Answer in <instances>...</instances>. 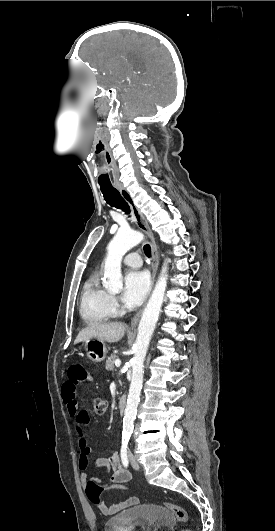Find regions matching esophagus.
<instances>
[{"label": "esophagus", "mask_w": 275, "mask_h": 531, "mask_svg": "<svg viewBox=\"0 0 275 531\" xmlns=\"http://www.w3.org/2000/svg\"><path fill=\"white\" fill-rule=\"evenodd\" d=\"M115 188L118 189V191L120 192L121 196L129 204V206L131 208V211H132L133 221L136 224V226L139 229H141L144 233H146L149 236L150 240H151V252H152V259H151V267H152L151 287H153L154 281H155L156 272H157V269H158V263H159L158 251H157L156 243L154 241L153 233H152V231H151V229L149 227V224H148L147 220L145 219V216L136 207V205L134 204V202H133L130 194L126 190V188L122 184L115 185ZM145 305H146V302L144 303L142 309H140L135 314V316L132 318V321H131V327L132 328H135L136 325L138 324V321L140 319V316L142 314V311H143Z\"/></svg>", "instance_id": "obj_1"}]
</instances>
